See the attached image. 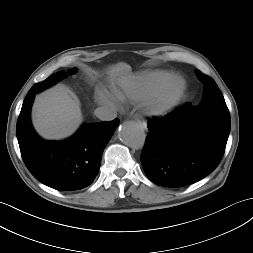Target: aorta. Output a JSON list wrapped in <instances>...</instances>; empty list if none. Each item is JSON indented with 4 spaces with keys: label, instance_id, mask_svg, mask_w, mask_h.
<instances>
[{
    "label": "aorta",
    "instance_id": "762f6f07",
    "mask_svg": "<svg viewBox=\"0 0 253 253\" xmlns=\"http://www.w3.org/2000/svg\"><path fill=\"white\" fill-rule=\"evenodd\" d=\"M120 140L131 148H141L145 143L146 134L143 126L136 121H126L119 128Z\"/></svg>",
    "mask_w": 253,
    "mask_h": 253
}]
</instances>
